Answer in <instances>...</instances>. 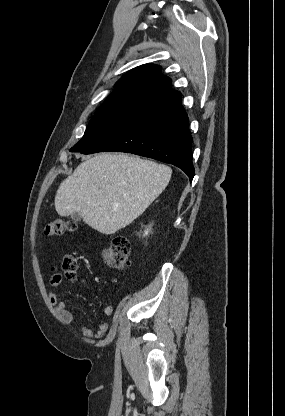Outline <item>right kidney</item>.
<instances>
[{
	"label": "right kidney",
	"mask_w": 285,
	"mask_h": 416,
	"mask_svg": "<svg viewBox=\"0 0 285 416\" xmlns=\"http://www.w3.org/2000/svg\"><path fill=\"white\" fill-rule=\"evenodd\" d=\"M149 232H150V230H149V228H147V230H144L143 236H148Z\"/></svg>",
	"instance_id": "obj_1"
}]
</instances>
